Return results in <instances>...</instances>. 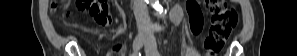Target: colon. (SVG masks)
<instances>
[{"instance_id": "1", "label": "colon", "mask_w": 297, "mask_h": 56, "mask_svg": "<svg viewBox=\"0 0 297 56\" xmlns=\"http://www.w3.org/2000/svg\"><path fill=\"white\" fill-rule=\"evenodd\" d=\"M207 5L211 12V26L204 46L206 56H216L236 27L238 14L225 1L210 0L207 1ZM77 6L81 10H88L90 15L100 24H106L110 21L109 6L106 0H78ZM53 9H56L55 3Z\"/></svg>"}]
</instances>
